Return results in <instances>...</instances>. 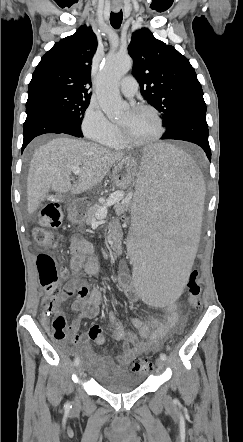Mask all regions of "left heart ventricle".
<instances>
[{
  "instance_id": "obj_1",
  "label": "left heart ventricle",
  "mask_w": 243,
  "mask_h": 442,
  "mask_svg": "<svg viewBox=\"0 0 243 442\" xmlns=\"http://www.w3.org/2000/svg\"><path fill=\"white\" fill-rule=\"evenodd\" d=\"M128 137L134 141L152 138L158 131V124L154 114L150 111L135 113L131 109L120 120Z\"/></svg>"
}]
</instances>
